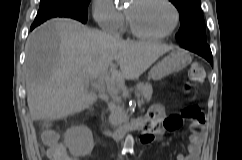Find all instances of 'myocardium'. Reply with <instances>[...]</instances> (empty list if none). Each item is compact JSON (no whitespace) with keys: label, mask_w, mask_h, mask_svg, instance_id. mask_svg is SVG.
I'll return each mask as SVG.
<instances>
[{"label":"myocardium","mask_w":242,"mask_h":160,"mask_svg":"<svg viewBox=\"0 0 242 160\" xmlns=\"http://www.w3.org/2000/svg\"><path fill=\"white\" fill-rule=\"evenodd\" d=\"M163 1L166 2L174 12V23L171 26V28L167 32L162 34H157V35L145 34L137 29L129 14L126 13V19H127L129 30L135 37L142 40H147V41H158L171 36L176 31L180 23L179 9L172 0H163Z\"/></svg>","instance_id":"1"}]
</instances>
